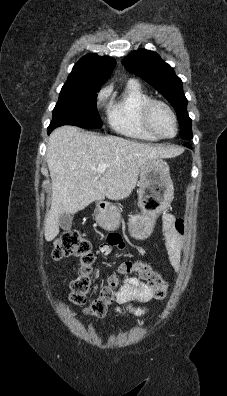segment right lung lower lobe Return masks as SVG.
Masks as SVG:
<instances>
[{
  "label": "right lung lower lobe",
  "mask_w": 227,
  "mask_h": 396,
  "mask_svg": "<svg viewBox=\"0 0 227 396\" xmlns=\"http://www.w3.org/2000/svg\"><path fill=\"white\" fill-rule=\"evenodd\" d=\"M53 129L48 128V133H50Z\"/></svg>",
  "instance_id": "obj_1"
}]
</instances>
